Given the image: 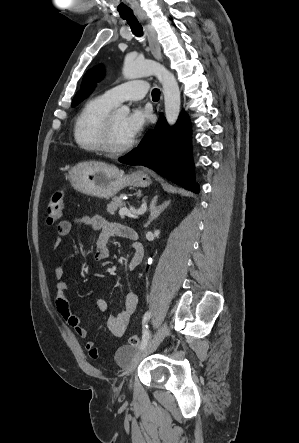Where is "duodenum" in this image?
Returning a JSON list of instances; mask_svg holds the SVG:
<instances>
[{
  "mask_svg": "<svg viewBox=\"0 0 299 443\" xmlns=\"http://www.w3.org/2000/svg\"><path fill=\"white\" fill-rule=\"evenodd\" d=\"M129 237H130V239H132V240H137V239H138V235H137L136 231H134L133 229H132V231L129 233ZM135 245H136L135 248H136L137 251H143V249H142V247H141V245H140L139 243H136Z\"/></svg>",
  "mask_w": 299,
  "mask_h": 443,
  "instance_id": "1",
  "label": "duodenum"
}]
</instances>
